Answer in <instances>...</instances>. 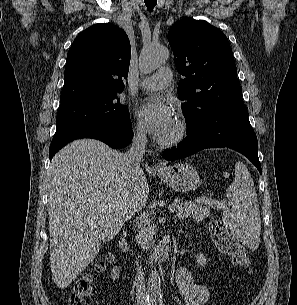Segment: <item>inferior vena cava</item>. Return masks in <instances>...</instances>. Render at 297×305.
<instances>
[{
    "label": "inferior vena cava",
    "mask_w": 297,
    "mask_h": 305,
    "mask_svg": "<svg viewBox=\"0 0 297 305\" xmlns=\"http://www.w3.org/2000/svg\"><path fill=\"white\" fill-rule=\"evenodd\" d=\"M146 142V132L143 130H138L137 133L133 136L130 150L124 155V165L132 177L139 175L142 171L140 168V163L145 153ZM142 206L143 203L139 198L132 197L128 207L131 216H134ZM134 223L135 227H139V218L136 219ZM144 275L145 274L142 264L138 263L134 285L136 291V300L140 304L146 302L148 295Z\"/></svg>",
    "instance_id": "obj_1"
}]
</instances>
